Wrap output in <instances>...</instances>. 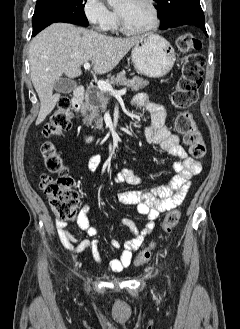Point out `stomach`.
<instances>
[{
    "label": "stomach",
    "mask_w": 240,
    "mask_h": 329,
    "mask_svg": "<svg viewBox=\"0 0 240 329\" xmlns=\"http://www.w3.org/2000/svg\"><path fill=\"white\" fill-rule=\"evenodd\" d=\"M135 69L151 78L165 76L172 69L176 53L170 43L156 34L141 37L131 51Z\"/></svg>",
    "instance_id": "obj_1"
}]
</instances>
